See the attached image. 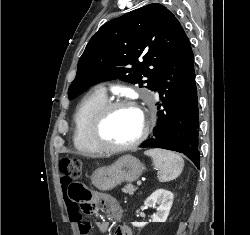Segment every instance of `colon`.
Here are the masks:
<instances>
[{
  "mask_svg": "<svg viewBox=\"0 0 250 235\" xmlns=\"http://www.w3.org/2000/svg\"><path fill=\"white\" fill-rule=\"evenodd\" d=\"M60 171L71 199L77 203V209L81 211L92 210L88 191L82 184L77 182L82 172L81 161L79 159H62L60 161Z\"/></svg>",
  "mask_w": 250,
  "mask_h": 235,
  "instance_id": "5ec220e1",
  "label": "colon"
}]
</instances>
